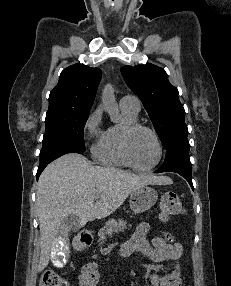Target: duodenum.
Segmentation results:
<instances>
[{
    "label": "duodenum",
    "mask_w": 231,
    "mask_h": 286,
    "mask_svg": "<svg viewBox=\"0 0 231 286\" xmlns=\"http://www.w3.org/2000/svg\"><path fill=\"white\" fill-rule=\"evenodd\" d=\"M92 240L93 236L90 233L81 235L77 240L76 246L79 250H85L91 245Z\"/></svg>",
    "instance_id": "duodenum-1"
}]
</instances>
